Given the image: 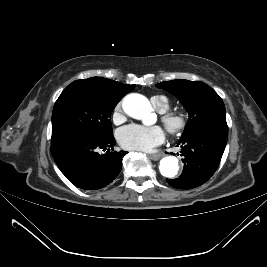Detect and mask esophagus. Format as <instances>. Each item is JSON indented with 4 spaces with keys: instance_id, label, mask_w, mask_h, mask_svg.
I'll list each match as a JSON object with an SVG mask.
<instances>
[{
    "instance_id": "obj_1",
    "label": "esophagus",
    "mask_w": 267,
    "mask_h": 267,
    "mask_svg": "<svg viewBox=\"0 0 267 267\" xmlns=\"http://www.w3.org/2000/svg\"><path fill=\"white\" fill-rule=\"evenodd\" d=\"M163 155H164L163 153H156V154H151V155H149V156H150V158H151L152 160L157 161V160H159L160 158H162Z\"/></svg>"
}]
</instances>
